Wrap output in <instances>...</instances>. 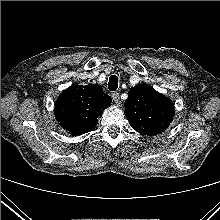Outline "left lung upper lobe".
I'll use <instances>...</instances> for the list:
<instances>
[{
  "mask_svg": "<svg viewBox=\"0 0 220 220\" xmlns=\"http://www.w3.org/2000/svg\"><path fill=\"white\" fill-rule=\"evenodd\" d=\"M124 113L137 132L156 136L169 127L174 117V105L153 87L141 84L128 92Z\"/></svg>",
  "mask_w": 220,
  "mask_h": 220,
  "instance_id": "1",
  "label": "left lung upper lobe"
}]
</instances>
